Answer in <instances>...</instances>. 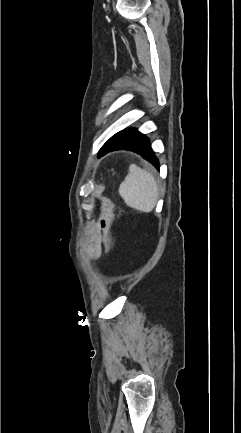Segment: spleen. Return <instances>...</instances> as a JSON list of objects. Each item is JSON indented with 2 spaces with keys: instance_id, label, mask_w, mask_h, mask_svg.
Masks as SVG:
<instances>
[{
  "instance_id": "obj_1",
  "label": "spleen",
  "mask_w": 241,
  "mask_h": 433,
  "mask_svg": "<svg viewBox=\"0 0 241 433\" xmlns=\"http://www.w3.org/2000/svg\"><path fill=\"white\" fill-rule=\"evenodd\" d=\"M119 194L127 206L149 213L156 205L158 186L151 173L132 164L125 180L120 184Z\"/></svg>"
}]
</instances>
